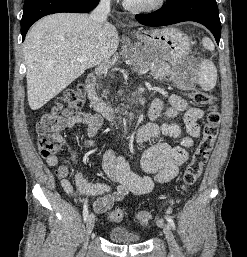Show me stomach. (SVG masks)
<instances>
[{
	"mask_svg": "<svg viewBox=\"0 0 247 257\" xmlns=\"http://www.w3.org/2000/svg\"><path fill=\"white\" fill-rule=\"evenodd\" d=\"M135 60L149 66L152 63L175 65L190 53L188 37L175 28L137 31Z\"/></svg>",
	"mask_w": 247,
	"mask_h": 257,
	"instance_id": "1",
	"label": "stomach"
}]
</instances>
